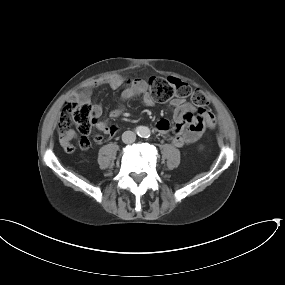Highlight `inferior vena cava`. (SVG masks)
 <instances>
[{
	"label": "inferior vena cava",
	"mask_w": 285,
	"mask_h": 285,
	"mask_svg": "<svg viewBox=\"0 0 285 285\" xmlns=\"http://www.w3.org/2000/svg\"><path fill=\"white\" fill-rule=\"evenodd\" d=\"M136 140V134L133 131H125L122 134V141L126 144L133 143Z\"/></svg>",
	"instance_id": "obj_1"
}]
</instances>
